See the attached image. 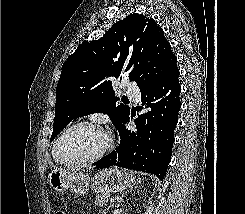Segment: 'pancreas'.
I'll return each instance as SVG.
<instances>
[{"mask_svg": "<svg viewBox=\"0 0 245 214\" xmlns=\"http://www.w3.org/2000/svg\"><path fill=\"white\" fill-rule=\"evenodd\" d=\"M109 195L107 193H97L95 196V203L99 206L107 205Z\"/></svg>", "mask_w": 245, "mask_h": 214, "instance_id": "cf45deb5", "label": "pancreas"}]
</instances>
